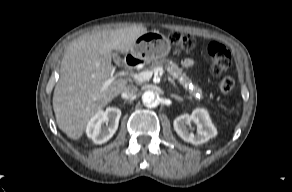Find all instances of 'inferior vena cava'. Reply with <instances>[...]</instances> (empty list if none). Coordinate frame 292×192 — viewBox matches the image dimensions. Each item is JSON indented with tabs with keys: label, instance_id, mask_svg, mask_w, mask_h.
Segmentation results:
<instances>
[{
	"label": "inferior vena cava",
	"instance_id": "1",
	"mask_svg": "<svg viewBox=\"0 0 292 192\" xmlns=\"http://www.w3.org/2000/svg\"><path fill=\"white\" fill-rule=\"evenodd\" d=\"M138 91V88L132 84L127 85L122 91V98L129 99L132 98Z\"/></svg>",
	"mask_w": 292,
	"mask_h": 192
}]
</instances>
